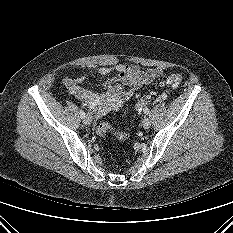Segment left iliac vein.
Segmentation results:
<instances>
[{
  "label": "left iliac vein",
  "mask_w": 233,
  "mask_h": 233,
  "mask_svg": "<svg viewBox=\"0 0 233 233\" xmlns=\"http://www.w3.org/2000/svg\"><path fill=\"white\" fill-rule=\"evenodd\" d=\"M142 126L144 129H148L151 126V121L148 118H144L142 121Z\"/></svg>",
  "instance_id": "left-iliac-vein-1"
}]
</instances>
